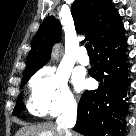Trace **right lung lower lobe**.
Masks as SVG:
<instances>
[{
    "instance_id": "right-lung-lower-lobe-1",
    "label": "right lung lower lobe",
    "mask_w": 136,
    "mask_h": 136,
    "mask_svg": "<svg viewBox=\"0 0 136 136\" xmlns=\"http://www.w3.org/2000/svg\"><path fill=\"white\" fill-rule=\"evenodd\" d=\"M124 33L99 44L90 75L98 89L85 91L78 105L75 130L86 136H123L127 107L128 71Z\"/></svg>"
}]
</instances>
